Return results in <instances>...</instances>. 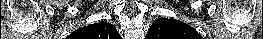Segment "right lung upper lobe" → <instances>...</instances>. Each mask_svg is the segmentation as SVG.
I'll use <instances>...</instances> for the list:
<instances>
[{
    "label": "right lung upper lobe",
    "mask_w": 263,
    "mask_h": 39,
    "mask_svg": "<svg viewBox=\"0 0 263 39\" xmlns=\"http://www.w3.org/2000/svg\"><path fill=\"white\" fill-rule=\"evenodd\" d=\"M83 39H120V35L113 25L99 22L80 28L76 31Z\"/></svg>",
    "instance_id": "obj_1"
}]
</instances>
